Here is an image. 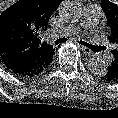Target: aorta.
<instances>
[{"label":"aorta","mask_w":118,"mask_h":118,"mask_svg":"<svg viewBox=\"0 0 118 118\" xmlns=\"http://www.w3.org/2000/svg\"><path fill=\"white\" fill-rule=\"evenodd\" d=\"M60 17L66 22H77L82 16L80 5L73 0L65 1L59 10ZM88 69L91 73L101 76L107 70L105 62L99 58L94 57L88 61Z\"/></svg>","instance_id":"aorta-1"}]
</instances>
